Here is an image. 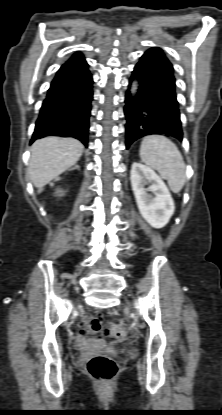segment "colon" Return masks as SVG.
<instances>
[{
  "label": "colon",
  "mask_w": 222,
  "mask_h": 415,
  "mask_svg": "<svg viewBox=\"0 0 222 415\" xmlns=\"http://www.w3.org/2000/svg\"><path fill=\"white\" fill-rule=\"evenodd\" d=\"M79 330L83 335H91L97 338L107 336L110 333V330L97 317H86L83 319L79 324ZM113 333L118 339L126 337V331L120 325H116L113 328ZM86 371L95 380L109 382L117 373V364L110 356L97 355L87 361Z\"/></svg>",
  "instance_id": "obj_1"
}]
</instances>
